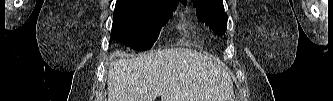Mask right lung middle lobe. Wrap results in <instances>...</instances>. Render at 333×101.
Segmentation results:
<instances>
[{
  "mask_svg": "<svg viewBox=\"0 0 333 101\" xmlns=\"http://www.w3.org/2000/svg\"><path fill=\"white\" fill-rule=\"evenodd\" d=\"M177 5L178 0H117L111 41L135 50H149Z\"/></svg>",
  "mask_w": 333,
  "mask_h": 101,
  "instance_id": "right-lung-middle-lobe-1",
  "label": "right lung middle lobe"
}]
</instances>
